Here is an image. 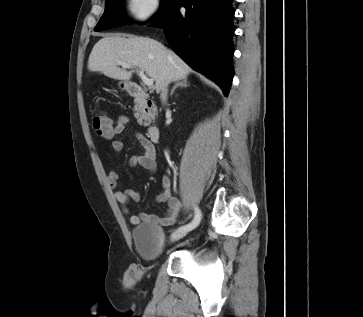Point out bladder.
<instances>
[{
  "label": "bladder",
  "mask_w": 363,
  "mask_h": 317,
  "mask_svg": "<svg viewBox=\"0 0 363 317\" xmlns=\"http://www.w3.org/2000/svg\"><path fill=\"white\" fill-rule=\"evenodd\" d=\"M164 232L157 224L147 221L136 225L132 230V239L140 256L149 262L162 256Z\"/></svg>",
  "instance_id": "obj_1"
}]
</instances>
